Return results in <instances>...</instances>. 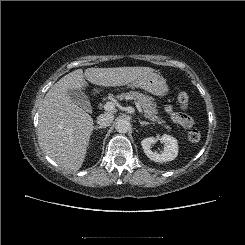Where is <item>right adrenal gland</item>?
Wrapping results in <instances>:
<instances>
[{
	"label": "right adrenal gland",
	"instance_id": "2a0ac1e0",
	"mask_svg": "<svg viewBox=\"0 0 245 245\" xmlns=\"http://www.w3.org/2000/svg\"><path fill=\"white\" fill-rule=\"evenodd\" d=\"M102 128H105V127H103V126H96L94 129L95 130H98V129H102Z\"/></svg>",
	"mask_w": 245,
	"mask_h": 245
}]
</instances>
